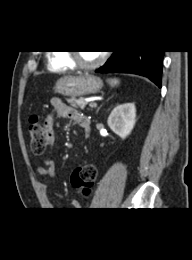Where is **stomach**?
<instances>
[{"mask_svg": "<svg viewBox=\"0 0 192 260\" xmlns=\"http://www.w3.org/2000/svg\"><path fill=\"white\" fill-rule=\"evenodd\" d=\"M103 87L102 80L92 74L64 76L57 80L55 92L72 98L98 93Z\"/></svg>", "mask_w": 192, "mask_h": 260, "instance_id": "1", "label": "stomach"}]
</instances>
